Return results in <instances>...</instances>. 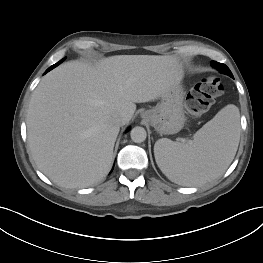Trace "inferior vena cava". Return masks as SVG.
I'll return each mask as SVG.
<instances>
[{"instance_id": "obj_1", "label": "inferior vena cava", "mask_w": 263, "mask_h": 263, "mask_svg": "<svg viewBox=\"0 0 263 263\" xmlns=\"http://www.w3.org/2000/svg\"><path fill=\"white\" fill-rule=\"evenodd\" d=\"M113 122L117 125H124L125 123V118L121 115H117L113 118Z\"/></svg>"}]
</instances>
